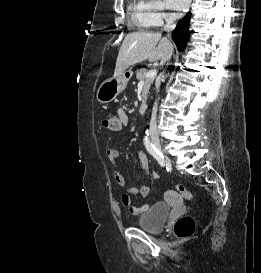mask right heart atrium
<instances>
[{"instance_id": "obj_1", "label": "right heart atrium", "mask_w": 261, "mask_h": 273, "mask_svg": "<svg viewBox=\"0 0 261 273\" xmlns=\"http://www.w3.org/2000/svg\"><path fill=\"white\" fill-rule=\"evenodd\" d=\"M145 10L150 27H159L163 25L164 22L172 19V15L167 11L164 3L160 0H146Z\"/></svg>"}]
</instances>
